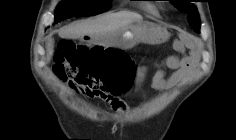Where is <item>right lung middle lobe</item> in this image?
I'll list each match as a JSON object with an SVG mask.
<instances>
[{
  "label": "right lung middle lobe",
  "instance_id": "1",
  "mask_svg": "<svg viewBox=\"0 0 236 140\" xmlns=\"http://www.w3.org/2000/svg\"><path fill=\"white\" fill-rule=\"evenodd\" d=\"M110 0H69L57 6L55 21L60 22L73 16L95 15L109 8Z\"/></svg>",
  "mask_w": 236,
  "mask_h": 140
}]
</instances>
